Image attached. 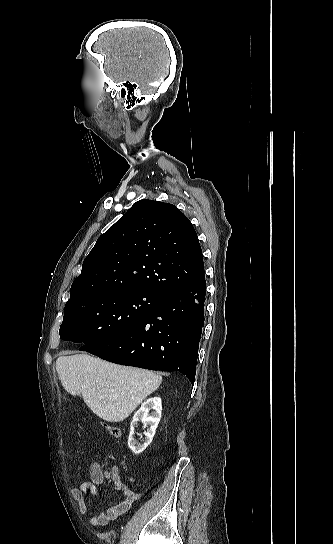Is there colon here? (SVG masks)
<instances>
[{"label": "colon", "instance_id": "1", "mask_svg": "<svg viewBox=\"0 0 333 544\" xmlns=\"http://www.w3.org/2000/svg\"><path fill=\"white\" fill-rule=\"evenodd\" d=\"M106 430L110 433V435H112L113 437H120L121 436V429L116 426V425H113V424H108V423H105L104 424Z\"/></svg>", "mask_w": 333, "mask_h": 544}]
</instances>
